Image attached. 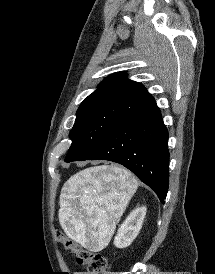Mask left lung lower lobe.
Segmentation results:
<instances>
[{
	"mask_svg": "<svg viewBox=\"0 0 215 274\" xmlns=\"http://www.w3.org/2000/svg\"><path fill=\"white\" fill-rule=\"evenodd\" d=\"M168 132L156 103L135 113L79 159L109 160L131 170L164 203L168 191Z\"/></svg>",
	"mask_w": 215,
	"mask_h": 274,
	"instance_id": "1",
	"label": "left lung lower lobe"
}]
</instances>
